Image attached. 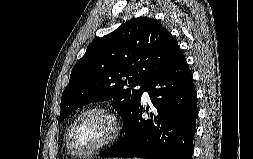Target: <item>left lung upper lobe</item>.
<instances>
[{
    "label": "left lung upper lobe",
    "instance_id": "left-lung-upper-lobe-1",
    "mask_svg": "<svg viewBox=\"0 0 253 159\" xmlns=\"http://www.w3.org/2000/svg\"><path fill=\"white\" fill-rule=\"evenodd\" d=\"M178 51L172 35L152 18L132 19L94 40L71 71L58 124L78 107L112 100L124 125L140 104L145 86ZM137 85L139 90L125 88Z\"/></svg>",
    "mask_w": 253,
    "mask_h": 159
}]
</instances>
